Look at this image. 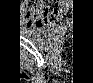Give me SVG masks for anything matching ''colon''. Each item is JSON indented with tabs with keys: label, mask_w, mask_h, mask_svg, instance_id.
I'll list each match as a JSON object with an SVG mask.
<instances>
[{
	"label": "colon",
	"mask_w": 93,
	"mask_h": 83,
	"mask_svg": "<svg viewBox=\"0 0 93 83\" xmlns=\"http://www.w3.org/2000/svg\"><path fill=\"white\" fill-rule=\"evenodd\" d=\"M28 5L24 8L25 18L33 24L49 25L54 23L68 10V3L59 2L57 6L41 5L39 1H26Z\"/></svg>",
	"instance_id": "colon-1"
}]
</instances>
